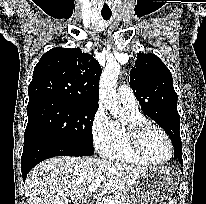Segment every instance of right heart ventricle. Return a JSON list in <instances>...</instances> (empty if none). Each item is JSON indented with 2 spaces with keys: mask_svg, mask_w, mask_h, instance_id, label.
Returning <instances> with one entry per match:
<instances>
[{
  "mask_svg": "<svg viewBox=\"0 0 206 204\" xmlns=\"http://www.w3.org/2000/svg\"><path fill=\"white\" fill-rule=\"evenodd\" d=\"M123 107L126 116L122 120L111 121L108 139L100 150V153L104 158L109 160L147 166L149 163L134 151L128 131L130 124L146 121L147 119L138 107H130L124 104Z\"/></svg>",
  "mask_w": 206,
  "mask_h": 204,
  "instance_id": "right-heart-ventricle-1",
  "label": "right heart ventricle"
}]
</instances>
